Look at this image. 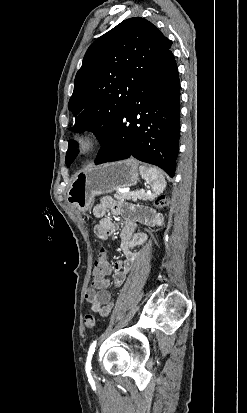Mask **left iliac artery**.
Masks as SVG:
<instances>
[{
    "mask_svg": "<svg viewBox=\"0 0 247 413\" xmlns=\"http://www.w3.org/2000/svg\"><path fill=\"white\" fill-rule=\"evenodd\" d=\"M95 347H96V341H93V343L90 345L89 351H88V355H87V361H86V369H91V360H92V356L95 352Z\"/></svg>",
    "mask_w": 247,
    "mask_h": 413,
    "instance_id": "obj_1",
    "label": "left iliac artery"
}]
</instances>
